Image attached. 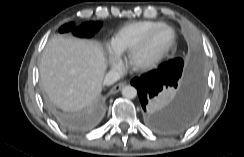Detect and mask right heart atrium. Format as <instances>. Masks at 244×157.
I'll use <instances>...</instances> for the list:
<instances>
[{
  "instance_id": "obj_1",
  "label": "right heart atrium",
  "mask_w": 244,
  "mask_h": 157,
  "mask_svg": "<svg viewBox=\"0 0 244 157\" xmlns=\"http://www.w3.org/2000/svg\"><path fill=\"white\" fill-rule=\"evenodd\" d=\"M110 62H111V64L114 67H118L119 66L118 60H117L116 56L113 53H111Z\"/></svg>"
}]
</instances>
